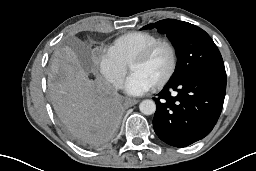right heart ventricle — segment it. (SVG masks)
<instances>
[{
  "mask_svg": "<svg viewBox=\"0 0 256 171\" xmlns=\"http://www.w3.org/2000/svg\"><path fill=\"white\" fill-rule=\"evenodd\" d=\"M159 40V38L145 31H131L113 40L107 51L113 54L125 66L145 47Z\"/></svg>",
  "mask_w": 256,
  "mask_h": 171,
  "instance_id": "obj_1",
  "label": "right heart ventricle"
}]
</instances>
